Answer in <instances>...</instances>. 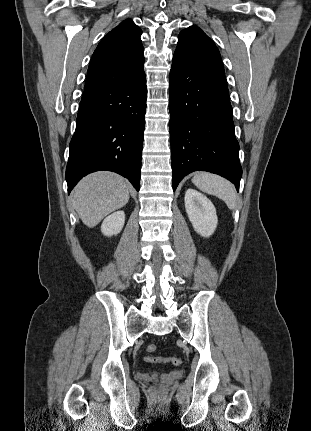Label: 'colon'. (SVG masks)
Returning a JSON list of instances; mask_svg holds the SVG:
<instances>
[{"label": "colon", "mask_w": 311, "mask_h": 431, "mask_svg": "<svg viewBox=\"0 0 311 431\" xmlns=\"http://www.w3.org/2000/svg\"><path fill=\"white\" fill-rule=\"evenodd\" d=\"M147 351L149 353L155 352L156 346L154 344L148 345ZM145 361L149 363H170L175 366H178L182 363V360L179 357L146 356Z\"/></svg>", "instance_id": "colon-1"}]
</instances>
